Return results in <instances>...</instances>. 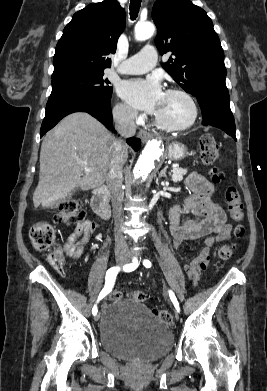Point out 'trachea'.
Here are the masks:
<instances>
[{"mask_svg":"<svg viewBox=\"0 0 267 391\" xmlns=\"http://www.w3.org/2000/svg\"><path fill=\"white\" fill-rule=\"evenodd\" d=\"M141 0H130V19L135 20L138 16Z\"/></svg>","mask_w":267,"mask_h":391,"instance_id":"trachea-1","label":"trachea"}]
</instances>
